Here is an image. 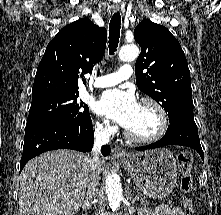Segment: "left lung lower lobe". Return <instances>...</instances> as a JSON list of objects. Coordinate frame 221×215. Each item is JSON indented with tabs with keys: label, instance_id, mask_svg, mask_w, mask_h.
I'll use <instances>...</instances> for the list:
<instances>
[{
	"label": "left lung lower lobe",
	"instance_id": "obj_1",
	"mask_svg": "<svg viewBox=\"0 0 221 215\" xmlns=\"http://www.w3.org/2000/svg\"><path fill=\"white\" fill-rule=\"evenodd\" d=\"M166 145H182L196 150L203 159L204 153L200 144L198 130L195 122H176L171 123L165 135L157 142L136 147L137 151L155 149Z\"/></svg>",
	"mask_w": 221,
	"mask_h": 215
}]
</instances>
